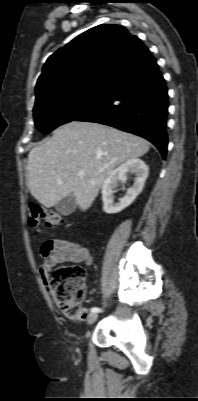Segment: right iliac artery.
Masks as SVG:
<instances>
[{
    "label": "right iliac artery",
    "instance_id": "obj_1",
    "mask_svg": "<svg viewBox=\"0 0 198 401\" xmlns=\"http://www.w3.org/2000/svg\"><path fill=\"white\" fill-rule=\"evenodd\" d=\"M100 311H101V309H99V308H97V307L91 308V312H92V313H97V312H100Z\"/></svg>",
    "mask_w": 198,
    "mask_h": 401
}]
</instances>
